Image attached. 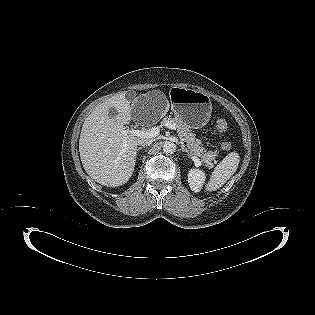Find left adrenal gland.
<instances>
[{"label":"left adrenal gland","instance_id":"a2214340","mask_svg":"<svg viewBox=\"0 0 315 315\" xmlns=\"http://www.w3.org/2000/svg\"><path fill=\"white\" fill-rule=\"evenodd\" d=\"M182 152L187 153V156L190 157L189 151L187 150V148H185V146L183 145V143H181V149Z\"/></svg>","mask_w":315,"mask_h":315}]
</instances>
